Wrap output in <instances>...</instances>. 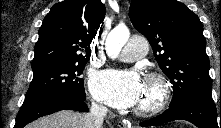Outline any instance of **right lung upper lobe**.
Masks as SVG:
<instances>
[{"label": "right lung upper lobe", "instance_id": "1", "mask_svg": "<svg viewBox=\"0 0 221 128\" xmlns=\"http://www.w3.org/2000/svg\"><path fill=\"white\" fill-rule=\"evenodd\" d=\"M105 11L101 0H64L53 5L39 29L33 72L89 59Z\"/></svg>", "mask_w": 221, "mask_h": 128}]
</instances>
